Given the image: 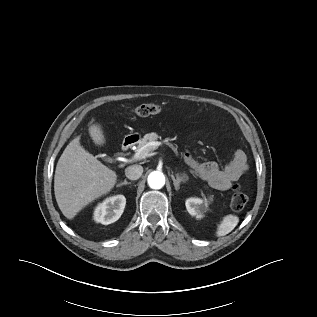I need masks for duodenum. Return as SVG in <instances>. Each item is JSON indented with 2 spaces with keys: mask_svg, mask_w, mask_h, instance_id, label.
I'll return each mask as SVG.
<instances>
[{
  "mask_svg": "<svg viewBox=\"0 0 317 317\" xmlns=\"http://www.w3.org/2000/svg\"><path fill=\"white\" fill-rule=\"evenodd\" d=\"M139 137L137 135H131L124 139L122 143V150L127 151L132 148L138 141Z\"/></svg>",
  "mask_w": 317,
  "mask_h": 317,
  "instance_id": "duodenum-1",
  "label": "duodenum"
}]
</instances>
